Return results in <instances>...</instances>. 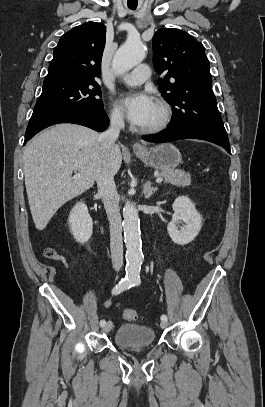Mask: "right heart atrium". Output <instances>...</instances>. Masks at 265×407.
Instances as JSON below:
<instances>
[{
	"label": "right heart atrium",
	"instance_id": "obj_1",
	"mask_svg": "<svg viewBox=\"0 0 265 407\" xmlns=\"http://www.w3.org/2000/svg\"><path fill=\"white\" fill-rule=\"evenodd\" d=\"M110 123L115 127L124 126V117L117 108H112L109 114Z\"/></svg>",
	"mask_w": 265,
	"mask_h": 407
}]
</instances>
